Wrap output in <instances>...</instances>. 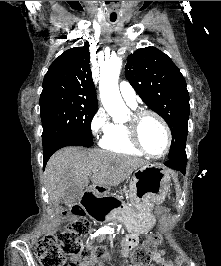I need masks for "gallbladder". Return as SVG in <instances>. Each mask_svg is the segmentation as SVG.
<instances>
[{
    "label": "gallbladder",
    "mask_w": 221,
    "mask_h": 266,
    "mask_svg": "<svg viewBox=\"0 0 221 266\" xmlns=\"http://www.w3.org/2000/svg\"><path fill=\"white\" fill-rule=\"evenodd\" d=\"M83 189L76 185L69 186L61 197V202L64 204L77 202L83 194Z\"/></svg>",
    "instance_id": "obj_1"
}]
</instances>
